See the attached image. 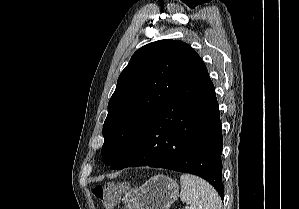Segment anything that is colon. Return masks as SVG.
Masks as SVG:
<instances>
[{"label": "colon", "mask_w": 299, "mask_h": 209, "mask_svg": "<svg viewBox=\"0 0 299 209\" xmlns=\"http://www.w3.org/2000/svg\"><path fill=\"white\" fill-rule=\"evenodd\" d=\"M129 189L127 184L108 182L96 185L93 189V195L97 198L106 209L117 204L125 191Z\"/></svg>", "instance_id": "colon-1"}]
</instances>
